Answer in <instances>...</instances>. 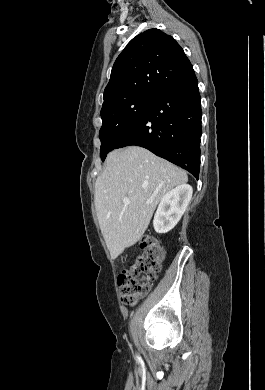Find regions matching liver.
<instances>
[{"label":"liver","mask_w":265,"mask_h":390,"mask_svg":"<svg viewBox=\"0 0 265 390\" xmlns=\"http://www.w3.org/2000/svg\"><path fill=\"white\" fill-rule=\"evenodd\" d=\"M187 181L185 171L139 146L107 156L95 183V207L112 258L141 239L162 197Z\"/></svg>","instance_id":"liver-1"}]
</instances>
